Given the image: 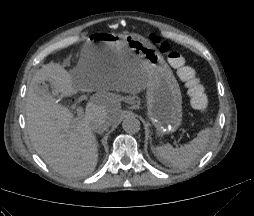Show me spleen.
<instances>
[{"mask_svg": "<svg viewBox=\"0 0 254 216\" xmlns=\"http://www.w3.org/2000/svg\"><path fill=\"white\" fill-rule=\"evenodd\" d=\"M211 133V129L206 128L201 130L192 141L179 148L167 144L156 147L153 153L161 162L175 170L186 169L204 152Z\"/></svg>", "mask_w": 254, "mask_h": 216, "instance_id": "3e777b00", "label": "spleen"}]
</instances>
